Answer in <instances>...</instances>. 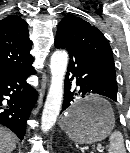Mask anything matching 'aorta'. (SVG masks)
Here are the masks:
<instances>
[{"mask_svg":"<svg viewBox=\"0 0 130 153\" xmlns=\"http://www.w3.org/2000/svg\"><path fill=\"white\" fill-rule=\"evenodd\" d=\"M68 64V55L65 51H55L50 60L51 85L44 105L41 129L43 132L49 131L55 124L60 112L63 83Z\"/></svg>","mask_w":130,"mask_h":153,"instance_id":"obj_1","label":"aorta"}]
</instances>
